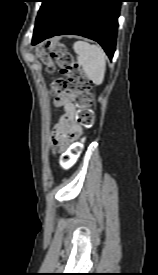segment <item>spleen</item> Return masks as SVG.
I'll return each mask as SVG.
<instances>
[{
  "label": "spleen",
  "mask_w": 158,
  "mask_h": 275,
  "mask_svg": "<svg viewBox=\"0 0 158 275\" xmlns=\"http://www.w3.org/2000/svg\"><path fill=\"white\" fill-rule=\"evenodd\" d=\"M73 49L77 54V62L88 79L96 85H101L106 71V55L103 49L85 41H76Z\"/></svg>",
  "instance_id": "1"
}]
</instances>
